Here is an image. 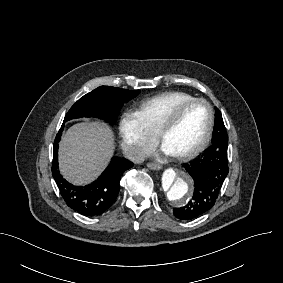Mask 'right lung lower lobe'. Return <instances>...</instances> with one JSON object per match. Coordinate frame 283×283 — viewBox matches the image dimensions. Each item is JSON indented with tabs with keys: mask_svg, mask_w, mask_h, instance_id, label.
<instances>
[{
	"mask_svg": "<svg viewBox=\"0 0 283 283\" xmlns=\"http://www.w3.org/2000/svg\"><path fill=\"white\" fill-rule=\"evenodd\" d=\"M64 123L54 143L52 175L66 204L82 215L93 217L104 213L116 200L122 174L133 166L124 158L113 157L109 166L93 183L86 186H74L67 182L58 170V142Z\"/></svg>",
	"mask_w": 283,
	"mask_h": 283,
	"instance_id": "1",
	"label": "right lung lower lobe"
}]
</instances>
